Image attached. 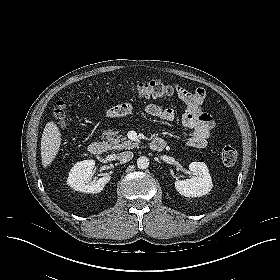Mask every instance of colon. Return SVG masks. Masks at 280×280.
<instances>
[{"mask_svg":"<svg viewBox=\"0 0 280 280\" xmlns=\"http://www.w3.org/2000/svg\"><path fill=\"white\" fill-rule=\"evenodd\" d=\"M116 88L126 89L131 94L137 95L142 98L149 97H167L173 92L172 87L161 80H151L147 82H139L135 84L120 85L117 84ZM122 113L129 115L132 112V106L129 103L122 105ZM67 110L68 104L59 100L54 106V116L57 119L60 128H63L67 123ZM238 152L233 147H224L221 153V160L225 166H232L236 163Z\"/></svg>","mask_w":280,"mask_h":280,"instance_id":"colon-1","label":"colon"}]
</instances>
